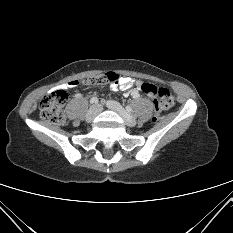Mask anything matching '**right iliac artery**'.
<instances>
[{"label":"right iliac artery","instance_id":"obj_1","mask_svg":"<svg viewBox=\"0 0 233 233\" xmlns=\"http://www.w3.org/2000/svg\"><path fill=\"white\" fill-rule=\"evenodd\" d=\"M98 102V98L97 97H92L91 99H90V103L91 104H96Z\"/></svg>","mask_w":233,"mask_h":233}]
</instances>
